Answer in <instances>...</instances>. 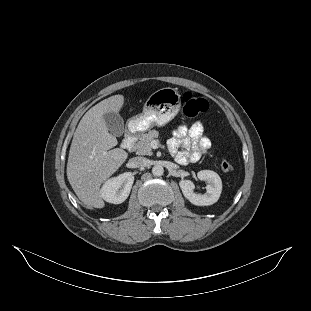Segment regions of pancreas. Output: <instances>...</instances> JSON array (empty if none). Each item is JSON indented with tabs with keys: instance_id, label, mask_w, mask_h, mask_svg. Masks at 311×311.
Returning a JSON list of instances; mask_svg holds the SVG:
<instances>
[{
	"instance_id": "cf45deb5",
	"label": "pancreas",
	"mask_w": 311,
	"mask_h": 311,
	"mask_svg": "<svg viewBox=\"0 0 311 311\" xmlns=\"http://www.w3.org/2000/svg\"><path fill=\"white\" fill-rule=\"evenodd\" d=\"M159 132L157 130H150L148 133L142 134L139 141L135 143L133 151L138 155H152L151 142L158 138Z\"/></svg>"
}]
</instances>
